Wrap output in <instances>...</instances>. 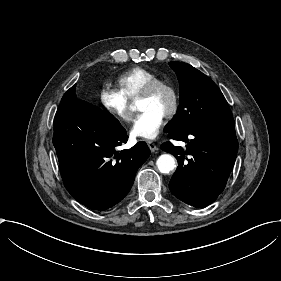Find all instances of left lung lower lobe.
<instances>
[{
  "label": "left lung lower lobe",
  "mask_w": 281,
  "mask_h": 281,
  "mask_svg": "<svg viewBox=\"0 0 281 281\" xmlns=\"http://www.w3.org/2000/svg\"><path fill=\"white\" fill-rule=\"evenodd\" d=\"M168 136L187 143L186 150L170 142L161 145L179 164L169 183L172 194L194 207L211 204L224 190L235 163L238 141L234 119L194 126Z\"/></svg>",
  "instance_id": "0a47b994"
}]
</instances>
